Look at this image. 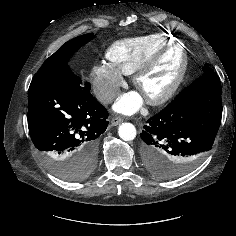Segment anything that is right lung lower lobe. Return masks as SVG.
I'll return each instance as SVG.
<instances>
[{
  "mask_svg": "<svg viewBox=\"0 0 236 236\" xmlns=\"http://www.w3.org/2000/svg\"><path fill=\"white\" fill-rule=\"evenodd\" d=\"M70 69L35 74L28 91V128L46 158L78 162L97 159L98 137L108 112Z\"/></svg>",
  "mask_w": 236,
  "mask_h": 236,
  "instance_id": "right-lung-lower-lobe-1",
  "label": "right lung lower lobe"
}]
</instances>
